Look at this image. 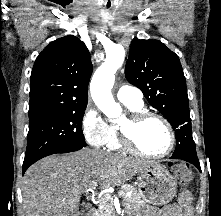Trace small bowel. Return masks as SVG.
<instances>
[{"instance_id": "small-bowel-1", "label": "small bowel", "mask_w": 221, "mask_h": 216, "mask_svg": "<svg viewBox=\"0 0 221 216\" xmlns=\"http://www.w3.org/2000/svg\"><path fill=\"white\" fill-rule=\"evenodd\" d=\"M162 216H194L191 193L183 192L176 203L163 209Z\"/></svg>"}]
</instances>
